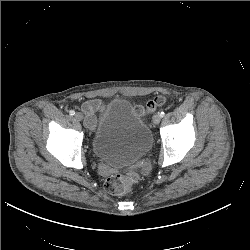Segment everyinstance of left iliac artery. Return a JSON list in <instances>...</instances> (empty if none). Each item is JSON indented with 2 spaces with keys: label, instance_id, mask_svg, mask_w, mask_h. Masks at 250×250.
Here are the masks:
<instances>
[{
  "label": "left iliac artery",
  "instance_id": "left-iliac-artery-1",
  "mask_svg": "<svg viewBox=\"0 0 250 250\" xmlns=\"http://www.w3.org/2000/svg\"><path fill=\"white\" fill-rule=\"evenodd\" d=\"M159 115L162 118V117H164L165 113L162 111V112L159 113Z\"/></svg>",
  "mask_w": 250,
  "mask_h": 250
}]
</instances>
